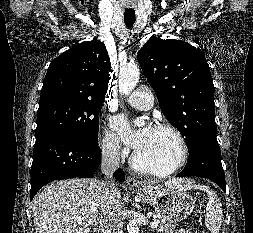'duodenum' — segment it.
Wrapping results in <instances>:
<instances>
[{
  "label": "duodenum",
  "instance_id": "410a0bca",
  "mask_svg": "<svg viewBox=\"0 0 253 233\" xmlns=\"http://www.w3.org/2000/svg\"><path fill=\"white\" fill-rule=\"evenodd\" d=\"M99 230L98 233H105L106 229H107V222L106 221H102L99 223Z\"/></svg>",
  "mask_w": 253,
  "mask_h": 233
}]
</instances>
